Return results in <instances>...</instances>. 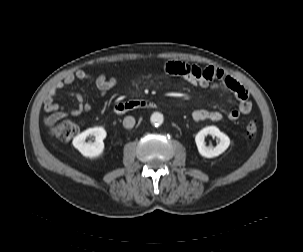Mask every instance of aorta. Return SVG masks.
Returning a JSON list of instances; mask_svg holds the SVG:
<instances>
[{
  "label": "aorta",
  "instance_id": "aorta-1",
  "mask_svg": "<svg viewBox=\"0 0 303 252\" xmlns=\"http://www.w3.org/2000/svg\"><path fill=\"white\" fill-rule=\"evenodd\" d=\"M150 120H151V123L153 125L159 126L163 123L164 118H163V115L161 113L155 112L151 115Z\"/></svg>",
  "mask_w": 303,
  "mask_h": 252
}]
</instances>
